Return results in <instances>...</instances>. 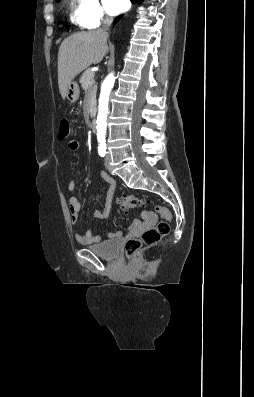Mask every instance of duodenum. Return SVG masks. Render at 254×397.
I'll return each mask as SVG.
<instances>
[{"mask_svg":"<svg viewBox=\"0 0 254 397\" xmlns=\"http://www.w3.org/2000/svg\"><path fill=\"white\" fill-rule=\"evenodd\" d=\"M96 126H97V124H96V119L94 118V119L91 121V124H90V128H91V130H92L93 132L96 131Z\"/></svg>","mask_w":254,"mask_h":397,"instance_id":"1","label":"duodenum"}]
</instances>
